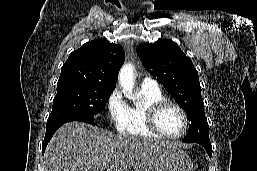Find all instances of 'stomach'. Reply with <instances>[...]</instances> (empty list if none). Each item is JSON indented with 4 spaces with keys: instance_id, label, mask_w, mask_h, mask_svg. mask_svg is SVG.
Here are the masks:
<instances>
[{
    "instance_id": "obj_1",
    "label": "stomach",
    "mask_w": 257,
    "mask_h": 171,
    "mask_svg": "<svg viewBox=\"0 0 257 171\" xmlns=\"http://www.w3.org/2000/svg\"><path fill=\"white\" fill-rule=\"evenodd\" d=\"M134 171H193V163L180 148L161 144L142 152Z\"/></svg>"
}]
</instances>
